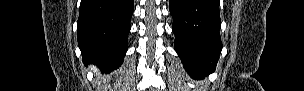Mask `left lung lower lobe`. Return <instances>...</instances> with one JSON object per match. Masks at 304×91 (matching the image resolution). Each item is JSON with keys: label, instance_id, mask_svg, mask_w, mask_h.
Returning a JSON list of instances; mask_svg holds the SVG:
<instances>
[{"label": "left lung lower lobe", "instance_id": "1", "mask_svg": "<svg viewBox=\"0 0 304 91\" xmlns=\"http://www.w3.org/2000/svg\"><path fill=\"white\" fill-rule=\"evenodd\" d=\"M174 48L193 78L213 73L222 50L219 0H169Z\"/></svg>", "mask_w": 304, "mask_h": 91}]
</instances>
